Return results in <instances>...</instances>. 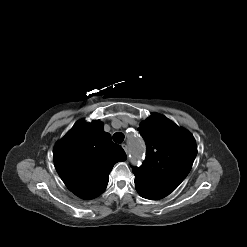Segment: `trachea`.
<instances>
[{"label": "trachea", "mask_w": 247, "mask_h": 247, "mask_svg": "<svg viewBox=\"0 0 247 247\" xmlns=\"http://www.w3.org/2000/svg\"><path fill=\"white\" fill-rule=\"evenodd\" d=\"M124 140V134L121 133V132H116L114 135H113V141L116 142V143H122Z\"/></svg>", "instance_id": "obj_1"}]
</instances>
